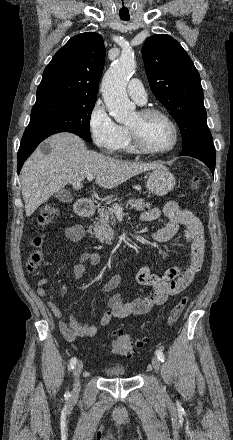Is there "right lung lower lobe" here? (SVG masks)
<instances>
[{
    "mask_svg": "<svg viewBox=\"0 0 233 440\" xmlns=\"http://www.w3.org/2000/svg\"><path fill=\"white\" fill-rule=\"evenodd\" d=\"M59 132H69L65 130H56V129H30L26 128L22 141L20 144V148L18 151V174L22 168L25 160L31 155V153L35 150L37 145L49 137L52 134Z\"/></svg>",
    "mask_w": 233,
    "mask_h": 440,
    "instance_id": "98d812e1",
    "label": "right lung lower lobe"
}]
</instances>
